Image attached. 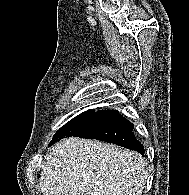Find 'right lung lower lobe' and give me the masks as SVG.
I'll return each mask as SVG.
<instances>
[{
	"label": "right lung lower lobe",
	"mask_w": 189,
	"mask_h": 195,
	"mask_svg": "<svg viewBox=\"0 0 189 195\" xmlns=\"http://www.w3.org/2000/svg\"><path fill=\"white\" fill-rule=\"evenodd\" d=\"M133 124L116 110H99L73 136L97 139L135 150L144 156V147L136 139Z\"/></svg>",
	"instance_id": "obj_1"
}]
</instances>
